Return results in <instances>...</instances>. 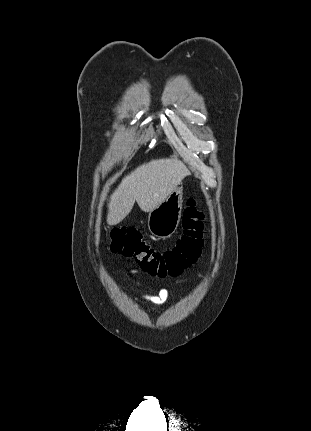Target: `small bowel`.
<instances>
[{
  "mask_svg": "<svg viewBox=\"0 0 311 431\" xmlns=\"http://www.w3.org/2000/svg\"><path fill=\"white\" fill-rule=\"evenodd\" d=\"M136 269L131 270V273H137ZM143 299L154 305H162L169 301V292L166 288H162L157 294H144Z\"/></svg>",
  "mask_w": 311,
  "mask_h": 431,
  "instance_id": "obj_1",
  "label": "small bowel"
}]
</instances>
